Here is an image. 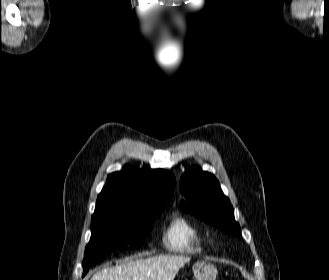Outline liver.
Returning a JSON list of instances; mask_svg holds the SVG:
<instances>
[{
  "mask_svg": "<svg viewBox=\"0 0 329 280\" xmlns=\"http://www.w3.org/2000/svg\"><path fill=\"white\" fill-rule=\"evenodd\" d=\"M190 257L159 255L147 259H127L119 265L95 273L90 280H174Z\"/></svg>",
  "mask_w": 329,
  "mask_h": 280,
  "instance_id": "6515ba94",
  "label": "liver"
}]
</instances>
